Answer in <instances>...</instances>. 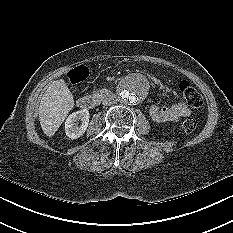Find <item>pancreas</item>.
Instances as JSON below:
<instances>
[{
    "instance_id": "pancreas-1",
    "label": "pancreas",
    "mask_w": 233,
    "mask_h": 233,
    "mask_svg": "<svg viewBox=\"0 0 233 233\" xmlns=\"http://www.w3.org/2000/svg\"><path fill=\"white\" fill-rule=\"evenodd\" d=\"M99 92H100V93H104V92H105V90H104V89H101V90H99Z\"/></svg>"
}]
</instances>
